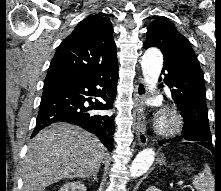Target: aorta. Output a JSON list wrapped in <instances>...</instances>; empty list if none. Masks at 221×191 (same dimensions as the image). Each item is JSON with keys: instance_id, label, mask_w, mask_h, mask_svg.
<instances>
[{"instance_id": "1", "label": "aorta", "mask_w": 221, "mask_h": 191, "mask_svg": "<svg viewBox=\"0 0 221 191\" xmlns=\"http://www.w3.org/2000/svg\"><path fill=\"white\" fill-rule=\"evenodd\" d=\"M163 67V55L157 48L147 49L142 57L141 68L147 89L153 93ZM155 151L146 148L139 152L130 165V176L136 178L144 174L152 165Z\"/></svg>"}]
</instances>
